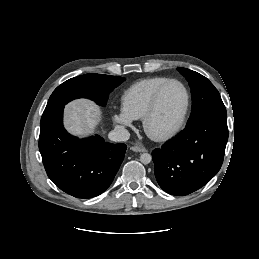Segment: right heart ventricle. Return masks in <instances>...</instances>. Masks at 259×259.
Listing matches in <instances>:
<instances>
[{
	"mask_svg": "<svg viewBox=\"0 0 259 259\" xmlns=\"http://www.w3.org/2000/svg\"><path fill=\"white\" fill-rule=\"evenodd\" d=\"M168 79L164 76H154L133 83L121 95L122 109L133 119L143 118L155 90Z\"/></svg>",
	"mask_w": 259,
	"mask_h": 259,
	"instance_id": "obj_1",
	"label": "right heart ventricle"
}]
</instances>
